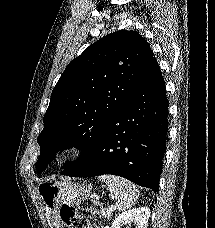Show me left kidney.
Instances as JSON below:
<instances>
[{"label": "left kidney", "mask_w": 215, "mask_h": 228, "mask_svg": "<svg viewBox=\"0 0 215 228\" xmlns=\"http://www.w3.org/2000/svg\"><path fill=\"white\" fill-rule=\"evenodd\" d=\"M149 208H133V210H127L120 216L115 218L111 228H147L148 220L150 218Z\"/></svg>", "instance_id": "1"}]
</instances>
